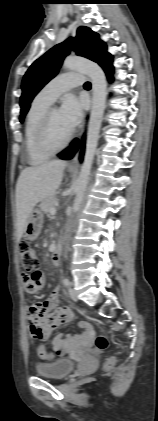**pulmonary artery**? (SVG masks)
Segmentation results:
<instances>
[{"instance_id": "obj_1", "label": "pulmonary artery", "mask_w": 158, "mask_h": 421, "mask_svg": "<svg viewBox=\"0 0 158 421\" xmlns=\"http://www.w3.org/2000/svg\"><path fill=\"white\" fill-rule=\"evenodd\" d=\"M84 77L77 72H65L48 82L38 93L41 99L53 103L62 93L81 85Z\"/></svg>"}]
</instances>
